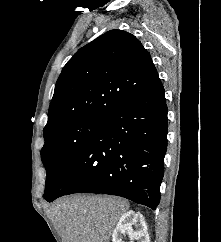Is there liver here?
Wrapping results in <instances>:
<instances>
[{
	"label": "liver",
	"instance_id": "liver-1",
	"mask_svg": "<svg viewBox=\"0 0 221 242\" xmlns=\"http://www.w3.org/2000/svg\"><path fill=\"white\" fill-rule=\"evenodd\" d=\"M130 205L110 196H72L55 201L49 214L62 242H109Z\"/></svg>",
	"mask_w": 221,
	"mask_h": 242
}]
</instances>
